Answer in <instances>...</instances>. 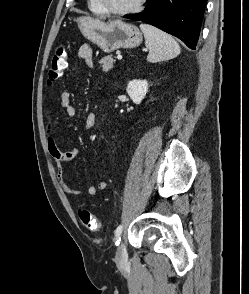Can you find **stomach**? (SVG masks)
I'll list each match as a JSON object with an SVG mask.
<instances>
[{"label": "stomach", "instance_id": "obj_1", "mask_svg": "<svg viewBox=\"0 0 249 294\" xmlns=\"http://www.w3.org/2000/svg\"><path fill=\"white\" fill-rule=\"evenodd\" d=\"M77 23L84 37L104 52L134 48L142 42V34L138 27L121 20L103 22L92 17H80Z\"/></svg>", "mask_w": 249, "mask_h": 294}]
</instances>
